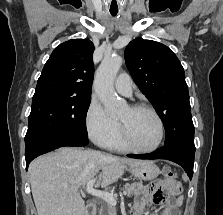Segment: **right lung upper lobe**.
<instances>
[{
  "mask_svg": "<svg viewBox=\"0 0 223 215\" xmlns=\"http://www.w3.org/2000/svg\"><path fill=\"white\" fill-rule=\"evenodd\" d=\"M94 45L88 39H72L54 49L38 79L35 94H59L91 98Z\"/></svg>",
  "mask_w": 223,
  "mask_h": 215,
  "instance_id": "right-lung-upper-lobe-1",
  "label": "right lung upper lobe"
}]
</instances>
